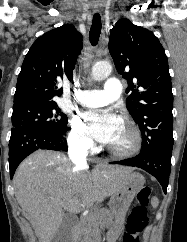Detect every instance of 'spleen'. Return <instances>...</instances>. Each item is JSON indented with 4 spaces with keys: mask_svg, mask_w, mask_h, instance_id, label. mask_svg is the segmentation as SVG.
<instances>
[{
    "mask_svg": "<svg viewBox=\"0 0 187 242\" xmlns=\"http://www.w3.org/2000/svg\"><path fill=\"white\" fill-rule=\"evenodd\" d=\"M158 199L157 198H153L152 201H151V204H152V207L153 208H156L158 206Z\"/></svg>",
    "mask_w": 187,
    "mask_h": 242,
    "instance_id": "spleen-1",
    "label": "spleen"
}]
</instances>
